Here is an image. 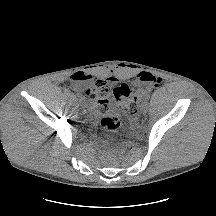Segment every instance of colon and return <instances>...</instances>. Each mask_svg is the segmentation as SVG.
Returning <instances> with one entry per match:
<instances>
[{
	"label": "colon",
	"mask_w": 216,
	"mask_h": 216,
	"mask_svg": "<svg viewBox=\"0 0 216 216\" xmlns=\"http://www.w3.org/2000/svg\"><path fill=\"white\" fill-rule=\"evenodd\" d=\"M140 79L155 87L161 83L159 78L147 73L142 74ZM83 94L101 111L107 110L110 97H112L117 105L125 106L132 115L137 113L140 104L147 97V93L143 89L131 92L123 85L112 89L109 81L103 78L90 79L89 84L83 89ZM101 127L107 132L119 133L122 129L120 112L116 111L104 116L101 120Z\"/></svg>",
	"instance_id": "colon-1"
}]
</instances>
